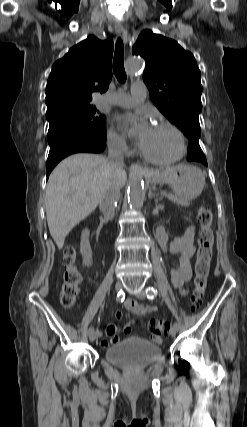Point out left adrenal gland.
Listing matches in <instances>:
<instances>
[{"label": "left adrenal gland", "mask_w": 247, "mask_h": 427, "mask_svg": "<svg viewBox=\"0 0 247 427\" xmlns=\"http://www.w3.org/2000/svg\"><path fill=\"white\" fill-rule=\"evenodd\" d=\"M148 198L152 199V198H156V202L159 200V194H155L152 192V189H149V193H148Z\"/></svg>", "instance_id": "1"}]
</instances>
